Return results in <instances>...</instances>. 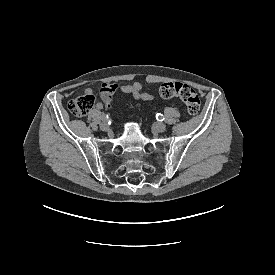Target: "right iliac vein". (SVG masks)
<instances>
[{"mask_svg": "<svg viewBox=\"0 0 275 275\" xmlns=\"http://www.w3.org/2000/svg\"><path fill=\"white\" fill-rule=\"evenodd\" d=\"M100 128L103 131H107L109 129V125L106 121H103V122L100 123Z\"/></svg>", "mask_w": 275, "mask_h": 275, "instance_id": "obj_1", "label": "right iliac vein"}]
</instances>
